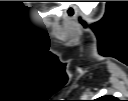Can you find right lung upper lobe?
Masks as SVG:
<instances>
[{
  "mask_svg": "<svg viewBox=\"0 0 128 101\" xmlns=\"http://www.w3.org/2000/svg\"><path fill=\"white\" fill-rule=\"evenodd\" d=\"M98 100L101 101H116V98L113 96H102L100 98H98Z\"/></svg>",
  "mask_w": 128,
  "mask_h": 101,
  "instance_id": "cb5924a9",
  "label": "right lung upper lobe"
}]
</instances>
